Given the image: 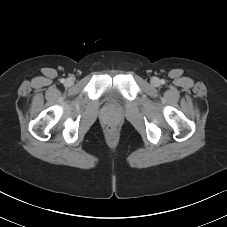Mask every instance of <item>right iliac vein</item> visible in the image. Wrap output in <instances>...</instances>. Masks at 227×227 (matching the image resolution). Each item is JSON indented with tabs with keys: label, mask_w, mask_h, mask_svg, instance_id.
Masks as SVG:
<instances>
[{
	"label": "right iliac vein",
	"mask_w": 227,
	"mask_h": 227,
	"mask_svg": "<svg viewBox=\"0 0 227 227\" xmlns=\"http://www.w3.org/2000/svg\"><path fill=\"white\" fill-rule=\"evenodd\" d=\"M73 83H74V80L72 78H67L65 81V84L67 86H71V85H73Z\"/></svg>",
	"instance_id": "obj_1"
}]
</instances>
